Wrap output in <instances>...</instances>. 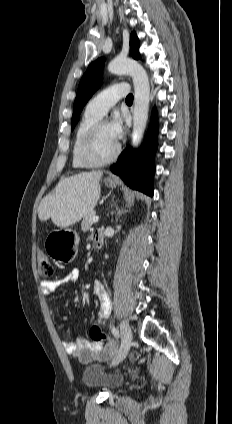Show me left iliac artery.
Listing matches in <instances>:
<instances>
[{
	"label": "left iliac artery",
	"mask_w": 232,
	"mask_h": 424,
	"mask_svg": "<svg viewBox=\"0 0 232 424\" xmlns=\"http://www.w3.org/2000/svg\"><path fill=\"white\" fill-rule=\"evenodd\" d=\"M110 312H111V307H110V304H108L103 309L104 318L108 317L110 315ZM112 333L115 337H117V338L119 337V331L115 326L112 327Z\"/></svg>",
	"instance_id": "44dca946"
}]
</instances>
